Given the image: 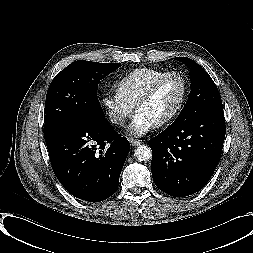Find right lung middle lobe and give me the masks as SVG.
I'll return each mask as SVG.
<instances>
[{
    "instance_id": "1",
    "label": "right lung middle lobe",
    "mask_w": 253,
    "mask_h": 253,
    "mask_svg": "<svg viewBox=\"0 0 253 253\" xmlns=\"http://www.w3.org/2000/svg\"><path fill=\"white\" fill-rule=\"evenodd\" d=\"M120 66L79 60L60 71L46 95L45 141L76 120H106L96 94L98 83Z\"/></svg>"
}]
</instances>
